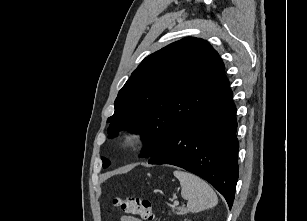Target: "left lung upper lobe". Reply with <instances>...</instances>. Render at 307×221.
I'll return each instance as SVG.
<instances>
[{
	"label": "left lung upper lobe",
	"mask_w": 307,
	"mask_h": 221,
	"mask_svg": "<svg viewBox=\"0 0 307 221\" xmlns=\"http://www.w3.org/2000/svg\"><path fill=\"white\" fill-rule=\"evenodd\" d=\"M228 86L224 64L210 44L183 38L146 57L132 73L115 100L108 132L143 133L141 156L151 158ZM102 161L104 168L110 165Z\"/></svg>",
	"instance_id": "obj_1"
}]
</instances>
